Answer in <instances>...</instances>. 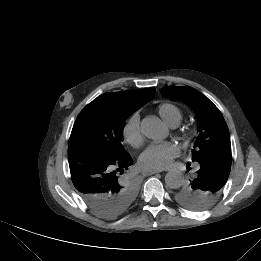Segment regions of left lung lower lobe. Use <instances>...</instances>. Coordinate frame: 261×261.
I'll return each mask as SVG.
<instances>
[{
  "mask_svg": "<svg viewBox=\"0 0 261 261\" xmlns=\"http://www.w3.org/2000/svg\"><path fill=\"white\" fill-rule=\"evenodd\" d=\"M208 159L200 161V169L198 175L192 181L193 184L198 185L206 192H215V186L209 184L210 181L222 184L228 179L230 173L231 163L226 164L225 167L219 168L215 164L207 162Z\"/></svg>",
  "mask_w": 261,
  "mask_h": 261,
  "instance_id": "0a47b994",
  "label": "left lung lower lobe"
}]
</instances>
